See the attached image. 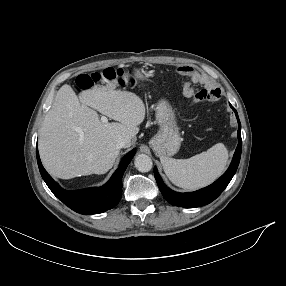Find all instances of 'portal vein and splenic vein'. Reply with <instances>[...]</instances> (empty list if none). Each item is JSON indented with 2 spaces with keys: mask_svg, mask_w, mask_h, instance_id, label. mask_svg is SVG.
I'll return each mask as SVG.
<instances>
[{
  "mask_svg": "<svg viewBox=\"0 0 286 286\" xmlns=\"http://www.w3.org/2000/svg\"><path fill=\"white\" fill-rule=\"evenodd\" d=\"M101 121L104 122V123H107V122H108V119H107V117L102 116V117H101Z\"/></svg>",
  "mask_w": 286,
  "mask_h": 286,
  "instance_id": "obj_1",
  "label": "portal vein and splenic vein"
}]
</instances>
